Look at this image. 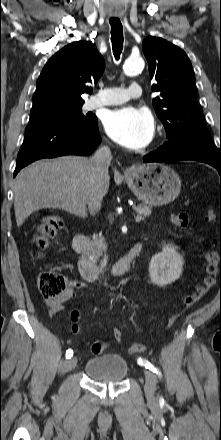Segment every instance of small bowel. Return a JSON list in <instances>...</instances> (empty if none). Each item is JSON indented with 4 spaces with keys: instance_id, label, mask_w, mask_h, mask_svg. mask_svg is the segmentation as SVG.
Listing matches in <instances>:
<instances>
[{
    "instance_id": "small-bowel-1",
    "label": "small bowel",
    "mask_w": 221,
    "mask_h": 440,
    "mask_svg": "<svg viewBox=\"0 0 221 440\" xmlns=\"http://www.w3.org/2000/svg\"><path fill=\"white\" fill-rule=\"evenodd\" d=\"M82 284L78 281L69 280L66 291L59 297L54 299H45L46 304L50 308L51 315H54L64 309V304L69 300L75 291V289L81 287Z\"/></svg>"
}]
</instances>
